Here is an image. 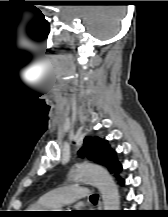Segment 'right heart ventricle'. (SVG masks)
Masks as SVG:
<instances>
[{"mask_svg": "<svg viewBox=\"0 0 168 217\" xmlns=\"http://www.w3.org/2000/svg\"><path fill=\"white\" fill-rule=\"evenodd\" d=\"M47 209L48 207L39 199L28 207V212H30V214H34L36 212L44 211Z\"/></svg>", "mask_w": 168, "mask_h": 217, "instance_id": "right-heart-ventricle-1", "label": "right heart ventricle"}]
</instances>
